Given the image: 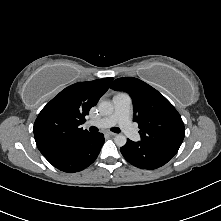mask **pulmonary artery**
Returning a JSON list of instances; mask_svg holds the SVG:
<instances>
[{"label":"pulmonary artery","mask_w":221,"mask_h":221,"mask_svg":"<svg viewBox=\"0 0 221 221\" xmlns=\"http://www.w3.org/2000/svg\"><path fill=\"white\" fill-rule=\"evenodd\" d=\"M114 111L111 115L97 121L88 122L89 125L109 128L118 124L124 133L133 141L140 140V135L131 122L132 100L124 92H119L113 97Z\"/></svg>","instance_id":"pulmonary-artery-1"}]
</instances>
